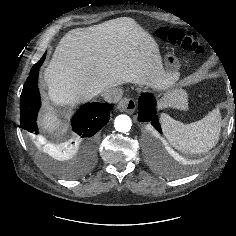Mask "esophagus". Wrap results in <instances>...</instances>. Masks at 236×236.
Wrapping results in <instances>:
<instances>
[{
  "instance_id": "34e87169",
  "label": "esophagus",
  "mask_w": 236,
  "mask_h": 236,
  "mask_svg": "<svg viewBox=\"0 0 236 236\" xmlns=\"http://www.w3.org/2000/svg\"><path fill=\"white\" fill-rule=\"evenodd\" d=\"M117 109L121 112L134 113L136 110V102L132 98H123L117 105Z\"/></svg>"
}]
</instances>
